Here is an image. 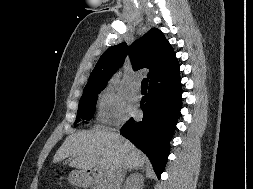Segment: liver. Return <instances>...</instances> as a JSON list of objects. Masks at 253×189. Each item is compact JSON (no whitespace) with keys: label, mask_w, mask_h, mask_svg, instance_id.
I'll list each match as a JSON object with an SVG mask.
<instances>
[{"label":"liver","mask_w":253,"mask_h":189,"mask_svg":"<svg viewBox=\"0 0 253 189\" xmlns=\"http://www.w3.org/2000/svg\"><path fill=\"white\" fill-rule=\"evenodd\" d=\"M73 157L70 166L83 171L99 166L106 175L117 167H142L146 156L129 140L111 131H80L69 135L56 152L53 162Z\"/></svg>","instance_id":"6515ba94"}]
</instances>
